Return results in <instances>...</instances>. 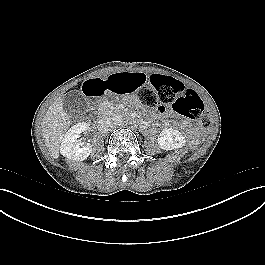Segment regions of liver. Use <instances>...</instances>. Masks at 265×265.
Instances as JSON below:
<instances>
[{
  "label": "liver",
  "mask_w": 265,
  "mask_h": 265,
  "mask_svg": "<svg viewBox=\"0 0 265 265\" xmlns=\"http://www.w3.org/2000/svg\"><path fill=\"white\" fill-rule=\"evenodd\" d=\"M70 124V116L63 108V97L61 96L48 108L42 123L45 145L53 158L59 157L62 138Z\"/></svg>",
  "instance_id": "6515ba94"
}]
</instances>
